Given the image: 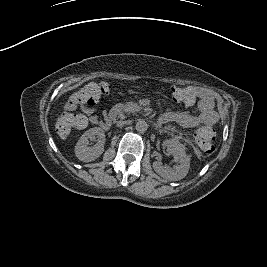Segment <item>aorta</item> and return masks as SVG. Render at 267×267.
I'll use <instances>...</instances> for the list:
<instances>
[{
  "label": "aorta",
  "mask_w": 267,
  "mask_h": 267,
  "mask_svg": "<svg viewBox=\"0 0 267 267\" xmlns=\"http://www.w3.org/2000/svg\"><path fill=\"white\" fill-rule=\"evenodd\" d=\"M135 128L139 133H144L145 131H147L148 124H147V122L145 120L140 119L136 123Z\"/></svg>",
  "instance_id": "aorta-1"
}]
</instances>
